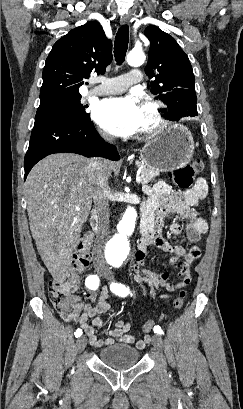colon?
Returning <instances> with one entry per match:
<instances>
[{
	"label": "colon",
	"mask_w": 243,
	"mask_h": 409,
	"mask_svg": "<svg viewBox=\"0 0 243 409\" xmlns=\"http://www.w3.org/2000/svg\"><path fill=\"white\" fill-rule=\"evenodd\" d=\"M203 169L200 161H193L185 166L174 170L170 177L173 182L182 189L191 187L197 174ZM93 237L90 233L84 234L77 245L69 267L68 278L64 281H51L49 284L50 300L56 311L66 320L76 317V309L73 301V293L77 290L78 277L90 263V250ZM185 291H181L173 301L175 309H180L184 305ZM154 320H148L143 326V333H149L155 327Z\"/></svg>",
	"instance_id": "colon-1"
}]
</instances>
